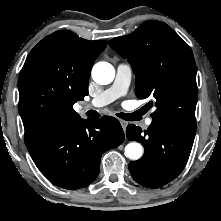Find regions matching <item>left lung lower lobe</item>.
I'll return each mask as SVG.
<instances>
[{
  "label": "left lung lower lobe",
  "mask_w": 221,
  "mask_h": 221,
  "mask_svg": "<svg viewBox=\"0 0 221 221\" xmlns=\"http://www.w3.org/2000/svg\"><path fill=\"white\" fill-rule=\"evenodd\" d=\"M196 130L153 119L147 130L128 125L126 136L145 147L142 158L129 163L134 180L148 188H159L175 179L184 169Z\"/></svg>",
  "instance_id": "1"
}]
</instances>
